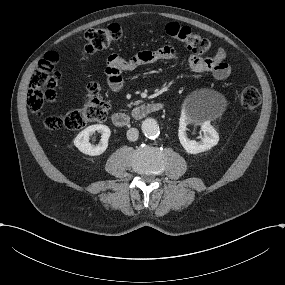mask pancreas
I'll return each instance as SVG.
<instances>
[{
  "label": "pancreas",
  "mask_w": 285,
  "mask_h": 285,
  "mask_svg": "<svg viewBox=\"0 0 285 285\" xmlns=\"http://www.w3.org/2000/svg\"><path fill=\"white\" fill-rule=\"evenodd\" d=\"M140 103H142V101H135V100H133V101H131L129 104H127V106H128L129 108H131L133 105H138V104H140Z\"/></svg>",
  "instance_id": "obj_1"
}]
</instances>
